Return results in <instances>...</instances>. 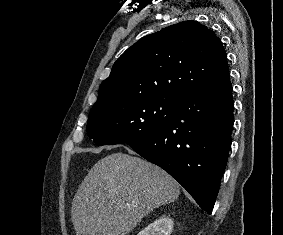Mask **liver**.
<instances>
[{"label":"liver","instance_id":"liver-1","mask_svg":"<svg viewBox=\"0 0 283 235\" xmlns=\"http://www.w3.org/2000/svg\"><path fill=\"white\" fill-rule=\"evenodd\" d=\"M133 154L112 153L88 172L72 202L76 235H126L153 209L179 197L176 180Z\"/></svg>","mask_w":283,"mask_h":235}]
</instances>
